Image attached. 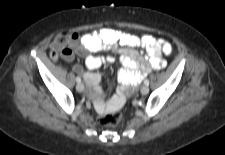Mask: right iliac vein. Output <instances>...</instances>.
<instances>
[{
  "instance_id": "63e3f726",
  "label": "right iliac vein",
  "mask_w": 225,
  "mask_h": 155,
  "mask_svg": "<svg viewBox=\"0 0 225 155\" xmlns=\"http://www.w3.org/2000/svg\"><path fill=\"white\" fill-rule=\"evenodd\" d=\"M76 90L78 91V92H83L84 91V84L83 83H78L77 85H76Z\"/></svg>"
}]
</instances>
